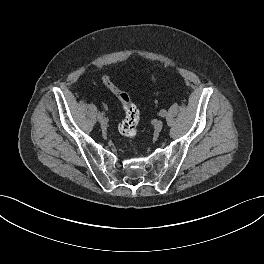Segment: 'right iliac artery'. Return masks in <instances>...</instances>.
<instances>
[{"label":"right iliac artery","instance_id":"1","mask_svg":"<svg viewBox=\"0 0 264 264\" xmlns=\"http://www.w3.org/2000/svg\"><path fill=\"white\" fill-rule=\"evenodd\" d=\"M98 119H99V121H101L103 119V112L98 113Z\"/></svg>","mask_w":264,"mask_h":264}]
</instances>
